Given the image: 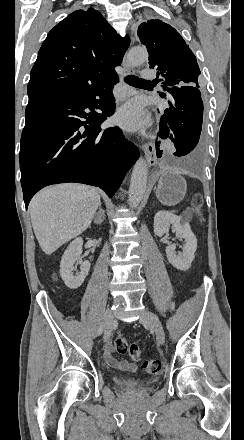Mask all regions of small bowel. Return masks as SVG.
<instances>
[{
  "instance_id": "obj_1",
  "label": "small bowel",
  "mask_w": 244,
  "mask_h": 440,
  "mask_svg": "<svg viewBox=\"0 0 244 440\" xmlns=\"http://www.w3.org/2000/svg\"><path fill=\"white\" fill-rule=\"evenodd\" d=\"M104 359L112 368L118 369L124 372H134L137 367L134 363L128 362L126 360L118 361L113 356V347L112 345H107L104 352Z\"/></svg>"
}]
</instances>
